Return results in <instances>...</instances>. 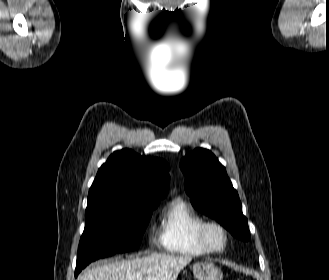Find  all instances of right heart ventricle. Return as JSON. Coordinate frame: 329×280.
<instances>
[{"instance_id":"right-heart-ventricle-1","label":"right heart ventricle","mask_w":329,"mask_h":280,"mask_svg":"<svg viewBox=\"0 0 329 280\" xmlns=\"http://www.w3.org/2000/svg\"><path fill=\"white\" fill-rule=\"evenodd\" d=\"M205 221L185 199L171 200L165 208L159 244L168 253L185 257L208 255L198 242L197 230Z\"/></svg>"}]
</instances>
